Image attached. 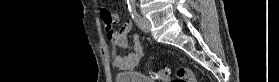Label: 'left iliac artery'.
<instances>
[{
  "instance_id": "obj_1",
  "label": "left iliac artery",
  "mask_w": 279,
  "mask_h": 82,
  "mask_svg": "<svg viewBox=\"0 0 279 82\" xmlns=\"http://www.w3.org/2000/svg\"><path fill=\"white\" fill-rule=\"evenodd\" d=\"M128 10L134 21H138L140 19V15L136 11V3L135 0H127Z\"/></svg>"
}]
</instances>
